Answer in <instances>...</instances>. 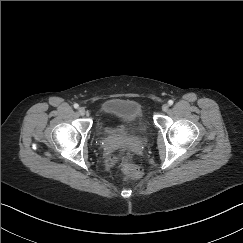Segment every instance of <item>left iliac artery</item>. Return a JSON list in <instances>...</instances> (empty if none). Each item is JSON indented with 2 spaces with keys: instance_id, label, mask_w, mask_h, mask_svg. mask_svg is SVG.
<instances>
[{
  "instance_id": "1",
  "label": "left iliac artery",
  "mask_w": 243,
  "mask_h": 243,
  "mask_svg": "<svg viewBox=\"0 0 243 243\" xmlns=\"http://www.w3.org/2000/svg\"><path fill=\"white\" fill-rule=\"evenodd\" d=\"M173 103H174L173 100H169V101H168V104H169V105H173Z\"/></svg>"
}]
</instances>
